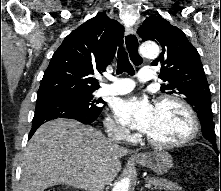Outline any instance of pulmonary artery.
<instances>
[{"mask_svg":"<svg viewBox=\"0 0 221 191\" xmlns=\"http://www.w3.org/2000/svg\"><path fill=\"white\" fill-rule=\"evenodd\" d=\"M141 82H151L155 79V72L151 67H143L138 73ZM135 87V83L130 78H114L112 84L103 85L98 90V96L121 95L130 92Z\"/></svg>","mask_w":221,"mask_h":191,"instance_id":"obj_1","label":"pulmonary artery"}]
</instances>
